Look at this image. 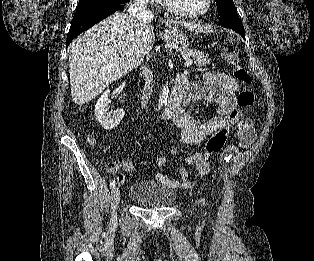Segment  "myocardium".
<instances>
[{"label":"myocardium","mask_w":314,"mask_h":261,"mask_svg":"<svg viewBox=\"0 0 314 261\" xmlns=\"http://www.w3.org/2000/svg\"><path fill=\"white\" fill-rule=\"evenodd\" d=\"M162 2L167 10H169L170 12L176 15L187 17V18H198L209 12V10L212 7L213 0H206L205 7L202 10L196 11V12L185 11L175 6L170 0H162Z\"/></svg>","instance_id":"1"}]
</instances>
